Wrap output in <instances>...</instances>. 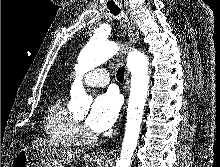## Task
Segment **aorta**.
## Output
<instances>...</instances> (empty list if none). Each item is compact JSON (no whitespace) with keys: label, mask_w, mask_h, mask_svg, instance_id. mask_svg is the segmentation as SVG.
I'll return each instance as SVG.
<instances>
[{"label":"aorta","mask_w":220,"mask_h":167,"mask_svg":"<svg viewBox=\"0 0 220 167\" xmlns=\"http://www.w3.org/2000/svg\"><path fill=\"white\" fill-rule=\"evenodd\" d=\"M119 49L117 43L93 36L81 50L75 67L76 78L70 91L71 100L68 108L71 111L86 112L89 109L91 99L85 92L82 77L116 55ZM127 68L131 73V88L121 155L115 167L131 166L149 86L148 59L143 53L137 50L130 51L127 57Z\"/></svg>","instance_id":"obj_1"}]
</instances>
